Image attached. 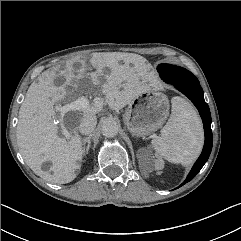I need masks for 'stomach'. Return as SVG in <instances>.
I'll return each mask as SVG.
<instances>
[{"instance_id": "0dacf381", "label": "stomach", "mask_w": 241, "mask_h": 241, "mask_svg": "<svg viewBox=\"0 0 241 241\" xmlns=\"http://www.w3.org/2000/svg\"><path fill=\"white\" fill-rule=\"evenodd\" d=\"M168 114L169 101L166 95L148 90L128 104L123 121L133 135L144 137L161 128Z\"/></svg>"}]
</instances>
